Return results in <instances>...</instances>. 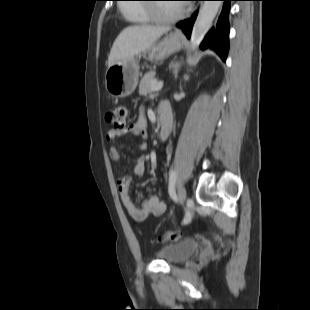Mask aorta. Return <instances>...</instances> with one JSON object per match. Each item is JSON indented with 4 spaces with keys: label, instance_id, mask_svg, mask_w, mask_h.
Wrapping results in <instances>:
<instances>
[{
    "label": "aorta",
    "instance_id": "aorta-1",
    "mask_svg": "<svg viewBox=\"0 0 310 310\" xmlns=\"http://www.w3.org/2000/svg\"><path fill=\"white\" fill-rule=\"evenodd\" d=\"M221 1H204L199 11L197 19L194 23L191 39L190 48L195 50L198 48L206 32L210 28L218 10L221 6Z\"/></svg>",
    "mask_w": 310,
    "mask_h": 310
}]
</instances>
